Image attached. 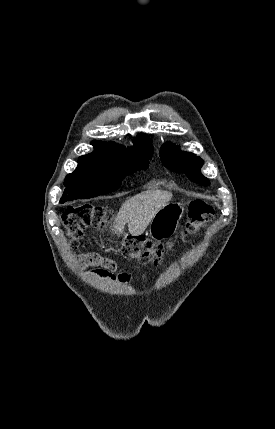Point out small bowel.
I'll return each instance as SVG.
<instances>
[{"mask_svg": "<svg viewBox=\"0 0 275 429\" xmlns=\"http://www.w3.org/2000/svg\"><path fill=\"white\" fill-rule=\"evenodd\" d=\"M93 274L104 278V279H111V280H119L120 282H127L129 281L130 277L129 275L123 273L121 277L115 276L113 275L111 272L105 270V269H96L94 271H92Z\"/></svg>", "mask_w": 275, "mask_h": 429, "instance_id": "obj_1", "label": "small bowel"}]
</instances>
